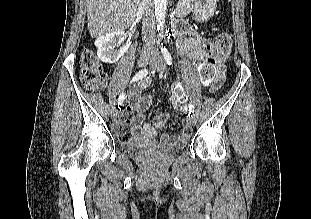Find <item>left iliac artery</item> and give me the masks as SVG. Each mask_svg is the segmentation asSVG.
<instances>
[{
	"instance_id": "44dca946",
	"label": "left iliac artery",
	"mask_w": 311,
	"mask_h": 219,
	"mask_svg": "<svg viewBox=\"0 0 311 219\" xmlns=\"http://www.w3.org/2000/svg\"><path fill=\"white\" fill-rule=\"evenodd\" d=\"M162 53H163L164 59L167 62V64L171 65L172 64V57H171L169 51L166 48H163ZM188 108H189L190 113H194V106L191 103L188 105Z\"/></svg>"
}]
</instances>
